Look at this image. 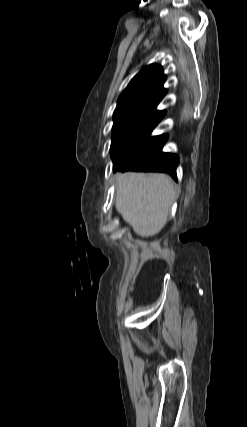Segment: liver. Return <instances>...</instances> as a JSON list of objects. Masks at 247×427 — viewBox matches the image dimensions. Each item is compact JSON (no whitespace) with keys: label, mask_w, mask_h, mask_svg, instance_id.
<instances>
[{"label":"liver","mask_w":247,"mask_h":427,"mask_svg":"<svg viewBox=\"0 0 247 427\" xmlns=\"http://www.w3.org/2000/svg\"><path fill=\"white\" fill-rule=\"evenodd\" d=\"M116 209L141 237L158 234L176 198L174 183L163 173L125 172L116 176Z\"/></svg>","instance_id":"1"}]
</instances>
